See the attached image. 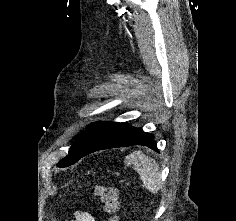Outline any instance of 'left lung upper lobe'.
<instances>
[{
	"instance_id": "5c2ea615",
	"label": "left lung upper lobe",
	"mask_w": 236,
	"mask_h": 221,
	"mask_svg": "<svg viewBox=\"0 0 236 221\" xmlns=\"http://www.w3.org/2000/svg\"><path fill=\"white\" fill-rule=\"evenodd\" d=\"M102 123L103 122H97L94 125L90 126L89 129L86 130L83 135L76 140V142H74V144L69 149L68 155L63 158L57 165L59 167H67L77 162V157L80 151L85 145L90 142Z\"/></svg>"
}]
</instances>
